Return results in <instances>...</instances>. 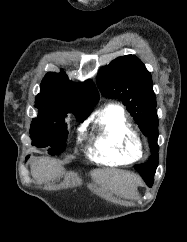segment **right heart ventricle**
Masks as SVG:
<instances>
[{"mask_svg": "<svg viewBox=\"0 0 187 242\" xmlns=\"http://www.w3.org/2000/svg\"><path fill=\"white\" fill-rule=\"evenodd\" d=\"M94 124L91 159L104 165H124L140 159V139L120 106L111 104L101 109Z\"/></svg>", "mask_w": 187, "mask_h": 242, "instance_id": "e07e8e85", "label": "right heart ventricle"}]
</instances>
